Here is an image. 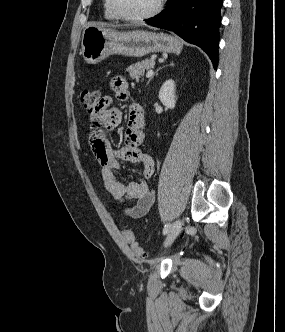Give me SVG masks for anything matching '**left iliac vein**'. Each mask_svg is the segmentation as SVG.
<instances>
[{"label":"left iliac vein","instance_id":"obj_1","mask_svg":"<svg viewBox=\"0 0 285 332\" xmlns=\"http://www.w3.org/2000/svg\"><path fill=\"white\" fill-rule=\"evenodd\" d=\"M182 221L177 219L171 226L168 235L164 241V247L170 246L181 231Z\"/></svg>","mask_w":285,"mask_h":332}]
</instances>
